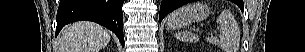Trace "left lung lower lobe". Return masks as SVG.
Here are the masks:
<instances>
[{
  "label": "left lung lower lobe",
  "instance_id": "obj_1",
  "mask_svg": "<svg viewBox=\"0 0 305 52\" xmlns=\"http://www.w3.org/2000/svg\"><path fill=\"white\" fill-rule=\"evenodd\" d=\"M193 0H162L161 2V7H160V14H159V20L162 21L163 18L175 10L176 8L180 7L183 4H186L188 2H192ZM241 9L243 8V3L242 6H240Z\"/></svg>",
  "mask_w": 305,
  "mask_h": 52
}]
</instances>
